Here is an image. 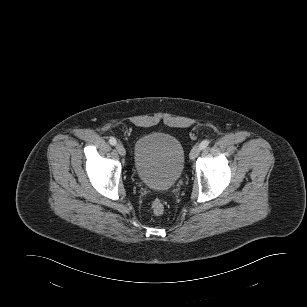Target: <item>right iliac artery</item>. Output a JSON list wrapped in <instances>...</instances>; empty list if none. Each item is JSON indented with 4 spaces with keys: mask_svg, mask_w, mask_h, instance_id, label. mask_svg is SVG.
Masks as SVG:
<instances>
[{
    "mask_svg": "<svg viewBox=\"0 0 307 307\" xmlns=\"http://www.w3.org/2000/svg\"><path fill=\"white\" fill-rule=\"evenodd\" d=\"M109 143L111 144V145H116L117 144V141H116V139L114 138V137H111L110 139H109Z\"/></svg>",
    "mask_w": 307,
    "mask_h": 307,
    "instance_id": "right-iliac-artery-1",
    "label": "right iliac artery"
}]
</instances>
